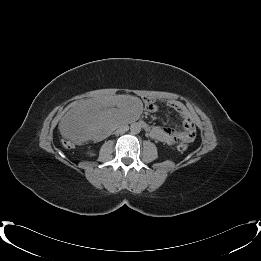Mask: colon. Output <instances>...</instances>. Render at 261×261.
<instances>
[{
  "label": "colon",
  "instance_id": "obj_1",
  "mask_svg": "<svg viewBox=\"0 0 261 261\" xmlns=\"http://www.w3.org/2000/svg\"><path fill=\"white\" fill-rule=\"evenodd\" d=\"M177 149H178V151H180V152H184V151H186V150L188 149V145H187V143L184 142V141H179V142L177 143Z\"/></svg>",
  "mask_w": 261,
  "mask_h": 261
}]
</instances>
